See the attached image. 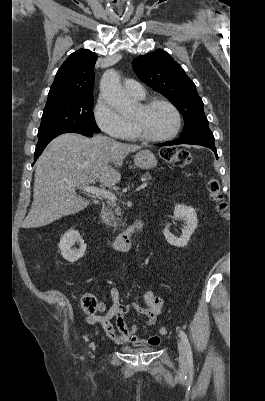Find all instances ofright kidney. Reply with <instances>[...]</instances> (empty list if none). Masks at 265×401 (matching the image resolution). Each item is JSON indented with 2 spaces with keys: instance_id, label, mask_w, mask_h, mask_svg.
<instances>
[{
  "instance_id": "ca27d5eb",
  "label": "right kidney",
  "mask_w": 265,
  "mask_h": 401,
  "mask_svg": "<svg viewBox=\"0 0 265 401\" xmlns=\"http://www.w3.org/2000/svg\"><path fill=\"white\" fill-rule=\"evenodd\" d=\"M79 241V249H71L72 245ZM59 249L61 251L62 257L69 261V263H76L78 259L83 257L86 251V243H84L83 239H81L78 231H74V229H69L67 233H64L60 243Z\"/></svg>"
}]
</instances>
